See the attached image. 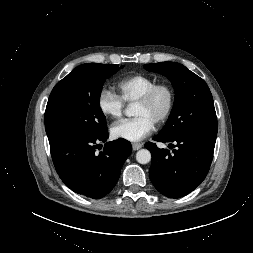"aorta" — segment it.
Returning a JSON list of instances; mask_svg holds the SVG:
<instances>
[{
    "label": "aorta",
    "mask_w": 253,
    "mask_h": 253,
    "mask_svg": "<svg viewBox=\"0 0 253 253\" xmlns=\"http://www.w3.org/2000/svg\"><path fill=\"white\" fill-rule=\"evenodd\" d=\"M126 116H133V107L132 105H129L127 109L125 110ZM136 160L140 164H147L151 160V153L147 149H141L136 153Z\"/></svg>",
    "instance_id": "aorta-1"
}]
</instances>
